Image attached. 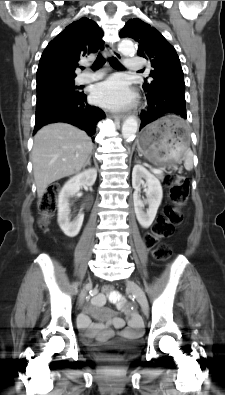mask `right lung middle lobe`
<instances>
[{"instance_id": "right-lung-middle-lobe-1", "label": "right lung middle lobe", "mask_w": 225, "mask_h": 395, "mask_svg": "<svg viewBox=\"0 0 225 395\" xmlns=\"http://www.w3.org/2000/svg\"><path fill=\"white\" fill-rule=\"evenodd\" d=\"M37 103L43 102L50 96L60 92H77L73 80H66L36 87Z\"/></svg>"}]
</instances>
